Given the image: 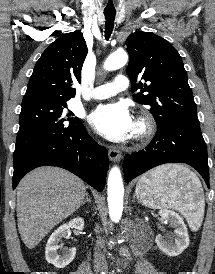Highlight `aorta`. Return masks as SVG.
Wrapping results in <instances>:
<instances>
[{
  "label": "aorta",
  "instance_id": "obj_1",
  "mask_svg": "<svg viewBox=\"0 0 215 274\" xmlns=\"http://www.w3.org/2000/svg\"><path fill=\"white\" fill-rule=\"evenodd\" d=\"M128 60L125 51L112 53L104 63V68L113 71L123 67ZM124 186L121 172L118 167H113L108 176V207L109 215L114 222H118L123 211Z\"/></svg>",
  "mask_w": 215,
  "mask_h": 274
}]
</instances>
